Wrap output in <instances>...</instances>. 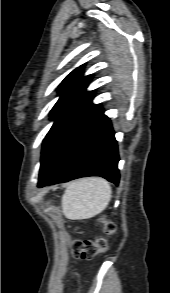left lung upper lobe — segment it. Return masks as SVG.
<instances>
[{
	"label": "left lung upper lobe",
	"mask_w": 170,
	"mask_h": 293,
	"mask_svg": "<svg viewBox=\"0 0 170 293\" xmlns=\"http://www.w3.org/2000/svg\"><path fill=\"white\" fill-rule=\"evenodd\" d=\"M83 65L73 70L60 84L59 100L51 111L54 124L46 135L42 147L39 175H42L55 161L72 137L100 109L91 103L94 91L85 89L91 75L82 77Z\"/></svg>",
	"instance_id": "obj_1"
}]
</instances>
